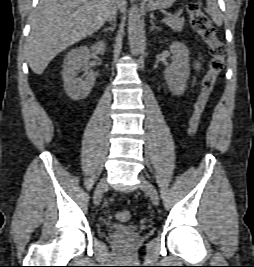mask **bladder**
Here are the masks:
<instances>
[{
	"label": "bladder",
	"mask_w": 254,
	"mask_h": 267,
	"mask_svg": "<svg viewBox=\"0 0 254 267\" xmlns=\"http://www.w3.org/2000/svg\"><path fill=\"white\" fill-rule=\"evenodd\" d=\"M109 231H114V232H131V231H141V228L135 227V226H122V225H109L107 227Z\"/></svg>",
	"instance_id": "1"
}]
</instances>
